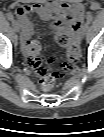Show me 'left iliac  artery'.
<instances>
[{"mask_svg": "<svg viewBox=\"0 0 104 137\" xmlns=\"http://www.w3.org/2000/svg\"><path fill=\"white\" fill-rule=\"evenodd\" d=\"M92 20H93V16H92V15H89V16L87 17V24H90V23L92 22Z\"/></svg>", "mask_w": 104, "mask_h": 137, "instance_id": "44dca946", "label": "left iliac artery"}]
</instances>
